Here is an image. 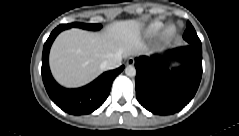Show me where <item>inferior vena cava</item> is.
<instances>
[{
  "label": "inferior vena cava",
  "mask_w": 239,
  "mask_h": 136,
  "mask_svg": "<svg viewBox=\"0 0 239 136\" xmlns=\"http://www.w3.org/2000/svg\"><path fill=\"white\" fill-rule=\"evenodd\" d=\"M122 64V56L121 55H115L114 57L109 58L108 60H106L102 67L105 70H112V69H116L118 67H120Z\"/></svg>",
  "instance_id": "inferior-vena-cava-1"
}]
</instances>
